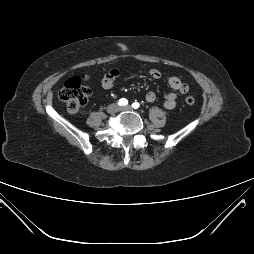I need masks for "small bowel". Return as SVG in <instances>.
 <instances>
[{
  "instance_id": "c3829d8e",
  "label": "small bowel",
  "mask_w": 254,
  "mask_h": 254,
  "mask_svg": "<svg viewBox=\"0 0 254 254\" xmlns=\"http://www.w3.org/2000/svg\"><path fill=\"white\" fill-rule=\"evenodd\" d=\"M121 72L118 69H112L108 73H106L101 81V87L104 90L111 89L117 79L120 77ZM150 77L153 79H159L161 77V73L157 69H151L149 71ZM169 86L175 91L168 93L163 98V106L164 108L171 110L176 108L177 106V93L186 94L189 90V87L186 83L182 82L178 77H169L168 78ZM147 102L152 103L156 100V94L152 91L148 92L145 96Z\"/></svg>"
}]
</instances>
